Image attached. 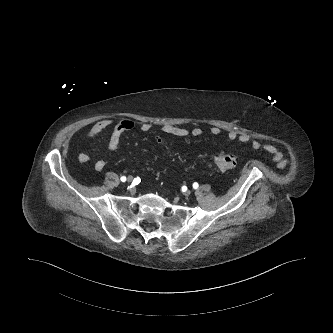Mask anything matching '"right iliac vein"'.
Returning <instances> with one entry per match:
<instances>
[{
    "label": "right iliac vein",
    "mask_w": 333,
    "mask_h": 333,
    "mask_svg": "<svg viewBox=\"0 0 333 333\" xmlns=\"http://www.w3.org/2000/svg\"><path fill=\"white\" fill-rule=\"evenodd\" d=\"M133 181V177L132 176H128V178H127V182L128 183H131Z\"/></svg>",
    "instance_id": "right-iliac-vein-1"
}]
</instances>
